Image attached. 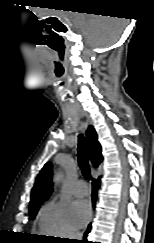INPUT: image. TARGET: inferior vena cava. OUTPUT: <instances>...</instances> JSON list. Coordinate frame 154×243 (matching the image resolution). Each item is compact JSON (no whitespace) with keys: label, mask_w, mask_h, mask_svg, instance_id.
Returning a JSON list of instances; mask_svg holds the SVG:
<instances>
[{"label":"inferior vena cava","mask_w":154,"mask_h":243,"mask_svg":"<svg viewBox=\"0 0 154 243\" xmlns=\"http://www.w3.org/2000/svg\"><path fill=\"white\" fill-rule=\"evenodd\" d=\"M71 239H78V240H81V234H80V233L73 232V233L71 234Z\"/></svg>","instance_id":"602c4592"}]
</instances>
